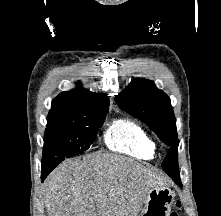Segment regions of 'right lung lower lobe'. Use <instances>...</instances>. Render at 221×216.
Instances as JSON below:
<instances>
[{
    "label": "right lung lower lobe",
    "mask_w": 221,
    "mask_h": 216,
    "mask_svg": "<svg viewBox=\"0 0 221 216\" xmlns=\"http://www.w3.org/2000/svg\"><path fill=\"white\" fill-rule=\"evenodd\" d=\"M55 167H42V173H41V179L42 181L45 179V177L54 169Z\"/></svg>",
    "instance_id": "right-lung-lower-lobe-1"
}]
</instances>
